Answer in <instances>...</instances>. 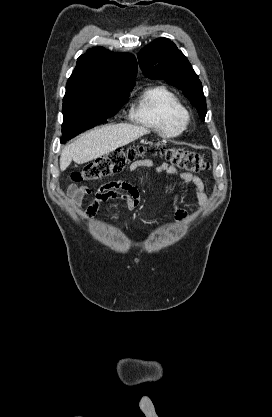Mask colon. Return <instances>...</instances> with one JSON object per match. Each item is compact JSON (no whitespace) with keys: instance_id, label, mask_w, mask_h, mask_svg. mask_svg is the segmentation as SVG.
<instances>
[{"instance_id":"obj_1","label":"colon","mask_w":272,"mask_h":417,"mask_svg":"<svg viewBox=\"0 0 272 417\" xmlns=\"http://www.w3.org/2000/svg\"><path fill=\"white\" fill-rule=\"evenodd\" d=\"M147 152L144 146L114 150L88 163L80 171L72 173V180L96 181L124 168L127 162ZM161 153L176 167L188 172H202L209 165L200 154L180 148H163Z\"/></svg>"}]
</instances>
